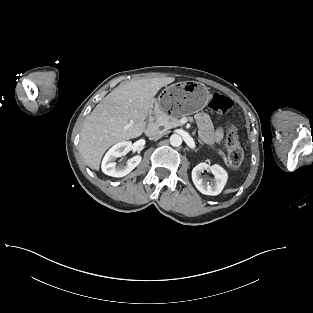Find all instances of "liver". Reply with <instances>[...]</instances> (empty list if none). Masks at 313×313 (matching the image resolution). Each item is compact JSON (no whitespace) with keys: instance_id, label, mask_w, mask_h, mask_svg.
I'll use <instances>...</instances> for the list:
<instances>
[{"instance_id":"1","label":"liver","mask_w":313,"mask_h":313,"mask_svg":"<svg viewBox=\"0 0 313 313\" xmlns=\"http://www.w3.org/2000/svg\"><path fill=\"white\" fill-rule=\"evenodd\" d=\"M174 80L173 77L143 78L119 85L110 92L84 121L79 150L85 163L98 171L109 147L142 135L155 95ZM127 125L130 126L126 128Z\"/></svg>"}]
</instances>
